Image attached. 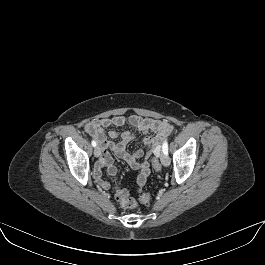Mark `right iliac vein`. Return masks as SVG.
<instances>
[{
	"label": "right iliac vein",
	"mask_w": 265,
	"mask_h": 265,
	"mask_svg": "<svg viewBox=\"0 0 265 265\" xmlns=\"http://www.w3.org/2000/svg\"><path fill=\"white\" fill-rule=\"evenodd\" d=\"M100 154H101V149H100L99 146H96V147L94 148V156H95V157H99Z\"/></svg>",
	"instance_id": "1"
}]
</instances>
